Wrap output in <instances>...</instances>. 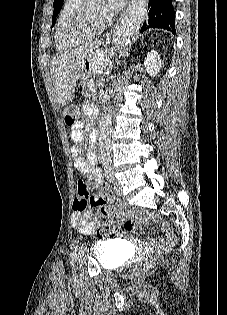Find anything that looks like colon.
Here are the masks:
<instances>
[{
    "label": "colon",
    "instance_id": "colon-1",
    "mask_svg": "<svg viewBox=\"0 0 227 315\" xmlns=\"http://www.w3.org/2000/svg\"><path fill=\"white\" fill-rule=\"evenodd\" d=\"M78 108L75 106H68L64 110V120L67 126H75L78 120ZM88 207L97 208L101 214L107 215V197L102 194H90L87 183L79 180L76 185V198L73 203V211L82 213ZM102 225L97 229V235L100 238H109L114 236L123 226L126 231H132L137 227V222L133 220L124 221V219H117V221L107 222L105 219L100 221ZM153 265L151 257L140 258L135 264V272L142 273L150 269Z\"/></svg>",
    "mask_w": 227,
    "mask_h": 315
}]
</instances>
